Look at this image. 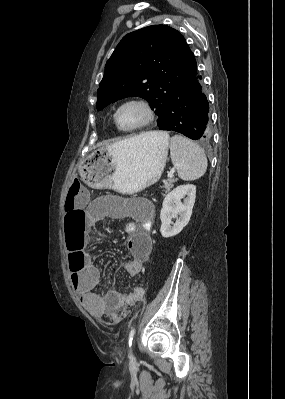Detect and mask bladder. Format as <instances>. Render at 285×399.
Segmentation results:
<instances>
[{
	"instance_id": "1",
	"label": "bladder",
	"mask_w": 285,
	"mask_h": 399,
	"mask_svg": "<svg viewBox=\"0 0 285 399\" xmlns=\"http://www.w3.org/2000/svg\"><path fill=\"white\" fill-rule=\"evenodd\" d=\"M140 202H141L143 205L147 206V208H152V202H151L150 200H148V199H142V200H140Z\"/></svg>"
}]
</instances>
